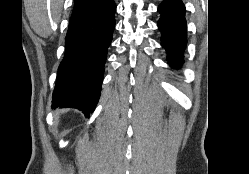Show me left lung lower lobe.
Listing matches in <instances>:
<instances>
[{
    "instance_id": "0a47b994",
    "label": "left lung lower lobe",
    "mask_w": 249,
    "mask_h": 174,
    "mask_svg": "<svg viewBox=\"0 0 249 174\" xmlns=\"http://www.w3.org/2000/svg\"><path fill=\"white\" fill-rule=\"evenodd\" d=\"M158 11L161 14L157 24L162 34L161 45L168 53L170 66L179 68L183 64V51L187 42L185 6L181 0H163Z\"/></svg>"
}]
</instances>
